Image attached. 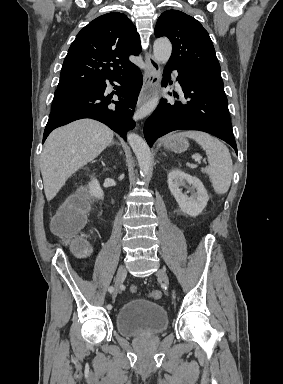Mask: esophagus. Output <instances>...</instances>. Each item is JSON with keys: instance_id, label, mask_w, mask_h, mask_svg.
<instances>
[{"instance_id": "34e87169", "label": "esophagus", "mask_w": 283, "mask_h": 384, "mask_svg": "<svg viewBox=\"0 0 283 384\" xmlns=\"http://www.w3.org/2000/svg\"><path fill=\"white\" fill-rule=\"evenodd\" d=\"M145 63L146 68L143 87L137 100L138 107L146 102L149 98L150 91L158 85L160 78V65L150 53L145 54Z\"/></svg>"}]
</instances>
